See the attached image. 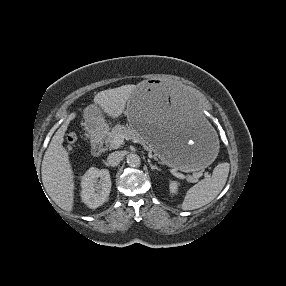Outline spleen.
Returning <instances> with one entry per match:
<instances>
[{
	"mask_svg": "<svg viewBox=\"0 0 286 286\" xmlns=\"http://www.w3.org/2000/svg\"><path fill=\"white\" fill-rule=\"evenodd\" d=\"M229 168L230 165L227 162L218 164L212 176L202 179L187 191L180 207L183 210H194L210 203L223 189Z\"/></svg>",
	"mask_w": 286,
	"mask_h": 286,
	"instance_id": "obj_1",
	"label": "spleen"
}]
</instances>
